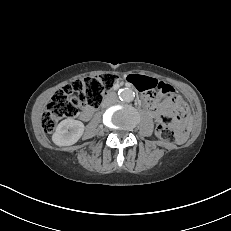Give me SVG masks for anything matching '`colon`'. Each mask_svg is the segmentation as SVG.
<instances>
[{"label": "colon", "instance_id": "obj_1", "mask_svg": "<svg viewBox=\"0 0 231 231\" xmlns=\"http://www.w3.org/2000/svg\"><path fill=\"white\" fill-rule=\"evenodd\" d=\"M117 81L116 74L103 73L77 79L64 86L52 97L46 107L42 116L43 130L50 133L62 119L76 116L85 107H98ZM131 81L140 91L157 89L163 95H169L174 91L172 86L163 82L156 86H148L147 81L142 78L133 77ZM187 114V109L184 106H178L174 112L179 123L186 120ZM157 134L165 142H180L186 138L187 131L183 125H177L173 120L166 118L158 125Z\"/></svg>", "mask_w": 231, "mask_h": 231}]
</instances>
